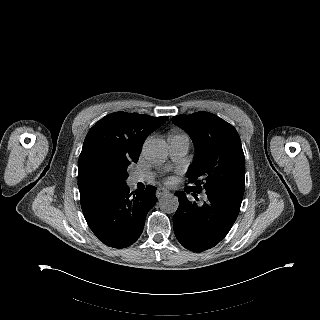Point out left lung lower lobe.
<instances>
[{
	"label": "left lung lower lobe",
	"instance_id": "0a47b994",
	"mask_svg": "<svg viewBox=\"0 0 320 320\" xmlns=\"http://www.w3.org/2000/svg\"><path fill=\"white\" fill-rule=\"evenodd\" d=\"M185 192L192 191L188 186ZM185 192H176L179 207L173 216L176 238L186 249L202 252L217 245L230 231L242 198L224 191L206 193L203 204L187 199ZM196 198V194L193 193ZM198 200V198H196Z\"/></svg>",
	"mask_w": 320,
	"mask_h": 320
}]
</instances>
